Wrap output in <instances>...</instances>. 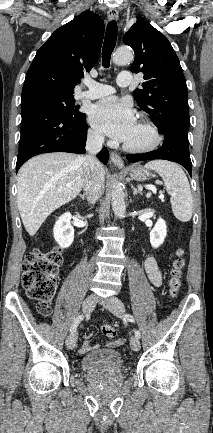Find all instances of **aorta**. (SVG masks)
I'll use <instances>...</instances> for the list:
<instances>
[{"label": "aorta", "instance_id": "1", "mask_svg": "<svg viewBox=\"0 0 213 433\" xmlns=\"http://www.w3.org/2000/svg\"><path fill=\"white\" fill-rule=\"evenodd\" d=\"M133 53L129 47H120L113 54V63L116 65H125L132 61ZM111 201L112 209L115 215L122 219L125 217V194L122 185L119 181L114 179L111 185Z\"/></svg>", "mask_w": 213, "mask_h": 433}]
</instances>
